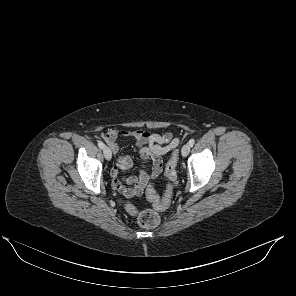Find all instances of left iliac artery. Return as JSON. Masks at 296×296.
I'll list each match as a JSON object with an SVG mask.
<instances>
[{"label": "left iliac artery", "mask_w": 296, "mask_h": 296, "mask_svg": "<svg viewBox=\"0 0 296 296\" xmlns=\"http://www.w3.org/2000/svg\"><path fill=\"white\" fill-rule=\"evenodd\" d=\"M194 143H195V140H194V139H190V141H189V145H190L191 147L194 145Z\"/></svg>", "instance_id": "1"}]
</instances>
